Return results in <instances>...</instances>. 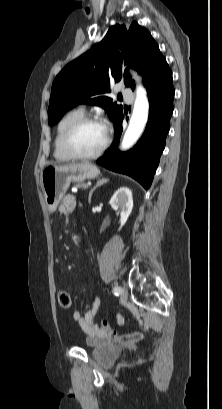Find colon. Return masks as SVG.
Masks as SVG:
<instances>
[{"instance_id":"colon-1","label":"colon","mask_w":222,"mask_h":409,"mask_svg":"<svg viewBox=\"0 0 222 409\" xmlns=\"http://www.w3.org/2000/svg\"><path fill=\"white\" fill-rule=\"evenodd\" d=\"M58 303L61 308L68 309L71 307V297L68 291L61 290L57 294ZM104 327L107 329L112 341L122 344H131L139 342L144 338L142 332H133L127 335H119L116 331L110 328L106 321L102 322Z\"/></svg>"}]
</instances>
